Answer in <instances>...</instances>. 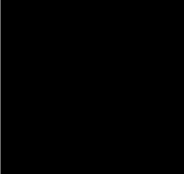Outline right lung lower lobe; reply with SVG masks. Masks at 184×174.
<instances>
[{"instance_id":"98d812e1","label":"right lung lower lobe","mask_w":184,"mask_h":174,"mask_svg":"<svg viewBox=\"0 0 184 174\" xmlns=\"http://www.w3.org/2000/svg\"><path fill=\"white\" fill-rule=\"evenodd\" d=\"M78 127V120H74L65 124L58 131L51 134H43L35 139L43 146L49 147L53 150L65 149L72 144L76 137Z\"/></svg>"}]
</instances>
